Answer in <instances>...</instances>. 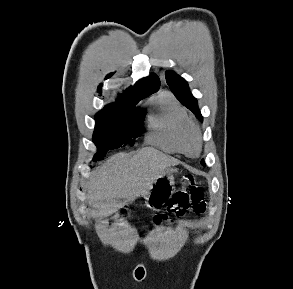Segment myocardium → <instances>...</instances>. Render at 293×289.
Instances as JSON below:
<instances>
[{"instance_id": "myocardium-1", "label": "myocardium", "mask_w": 293, "mask_h": 289, "mask_svg": "<svg viewBox=\"0 0 293 289\" xmlns=\"http://www.w3.org/2000/svg\"><path fill=\"white\" fill-rule=\"evenodd\" d=\"M191 137L194 147L188 138ZM177 141L179 144V151L188 156L196 157L199 155L202 148L201 132L198 126L192 121L184 123L177 134Z\"/></svg>"}]
</instances>
